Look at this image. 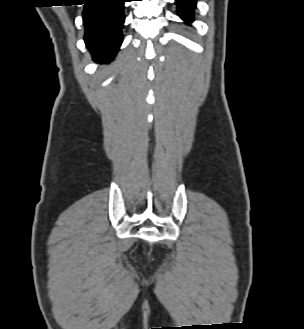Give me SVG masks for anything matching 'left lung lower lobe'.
I'll return each instance as SVG.
<instances>
[{
  "mask_svg": "<svg viewBox=\"0 0 304 329\" xmlns=\"http://www.w3.org/2000/svg\"><path fill=\"white\" fill-rule=\"evenodd\" d=\"M178 14L186 22L193 21V10L196 7V0H176Z\"/></svg>",
  "mask_w": 304,
  "mask_h": 329,
  "instance_id": "obj_1",
  "label": "left lung lower lobe"
}]
</instances>
